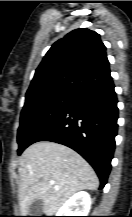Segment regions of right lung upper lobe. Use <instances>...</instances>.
Segmentation results:
<instances>
[{
  "label": "right lung upper lobe",
  "instance_id": "cb5924a9",
  "mask_svg": "<svg viewBox=\"0 0 132 217\" xmlns=\"http://www.w3.org/2000/svg\"><path fill=\"white\" fill-rule=\"evenodd\" d=\"M111 79L100 35L79 28L52 45L36 69L26 98L60 91L78 95Z\"/></svg>",
  "mask_w": 132,
  "mask_h": 217
}]
</instances>
